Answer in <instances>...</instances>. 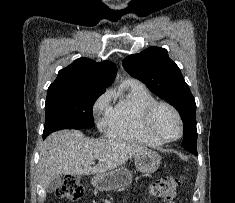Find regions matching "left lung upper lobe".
I'll use <instances>...</instances> for the list:
<instances>
[{"label": "left lung upper lobe", "mask_w": 235, "mask_h": 203, "mask_svg": "<svg viewBox=\"0 0 235 203\" xmlns=\"http://www.w3.org/2000/svg\"><path fill=\"white\" fill-rule=\"evenodd\" d=\"M125 70L142 81L157 96L170 103L180 114L184 129L192 132L190 148L197 151L196 103L178 66L168 57L167 50L152 46L127 56Z\"/></svg>", "instance_id": "left-lung-upper-lobe-1"}]
</instances>
